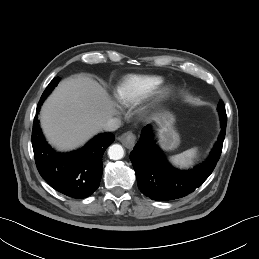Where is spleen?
I'll use <instances>...</instances> for the list:
<instances>
[{
  "instance_id": "obj_1",
  "label": "spleen",
  "mask_w": 259,
  "mask_h": 259,
  "mask_svg": "<svg viewBox=\"0 0 259 259\" xmlns=\"http://www.w3.org/2000/svg\"><path fill=\"white\" fill-rule=\"evenodd\" d=\"M198 156V149L196 147L188 149L180 154L170 157V161L179 167H188L193 164L194 159Z\"/></svg>"
}]
</instances>
